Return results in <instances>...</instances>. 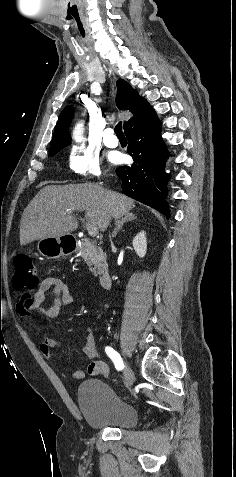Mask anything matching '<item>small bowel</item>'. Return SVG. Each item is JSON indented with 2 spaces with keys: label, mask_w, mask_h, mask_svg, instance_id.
<instances>
[{
  "label": "small bowel",
  "mask_w": 236,
  "mask_h": 477,
  "mask_svg": "<svg viewBox=\"0 0 236 477\" xmlns=\"http://www.w3.org/2000/svg\"><path fill=\"white\" fill-rule=\"evenodd\" d=\"M52 291V302L47 307H42L46 298V293ZM31 303L26 305L19 304L18 312L24 317H30L32 311H36L46 319H54L58 316L62 306H69L74 302L71 288L61 279L55 277H46L41 280L37 291L31 296ZM53 348H62L61 345L47 336L41 337L40 351L50 362L55 361L52 352ZM82 353L92 362L88 365L86 372L82 370H67V375L72 379H82L86 374L90 376L110 375L109 367L102 361L96 360L98 350L95 341L94 330L87 327L84 331V344L81 348Z\"/></svg>",
  "instance_id": "obj_1"
}]
</instances>
